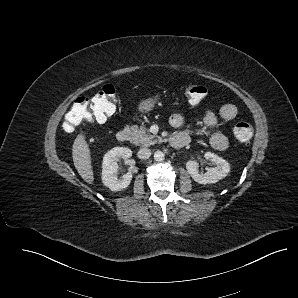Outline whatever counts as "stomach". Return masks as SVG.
<instances>
[{"instance_id":"obj_1","label":"stomach","mask_w":298,"mask_h":298,"mask_svg":"<svg viewBox=\"0 0 298 298\" xmlns=\"http://www.w3.org/2000/svg\"><path fill=\"white\" fill-rule=\"evenodd\" d=\"M154 100H147L144 103L141 104V110L142 111H147L150 110L153 107Z\"/></svg>"}]
</instances>
